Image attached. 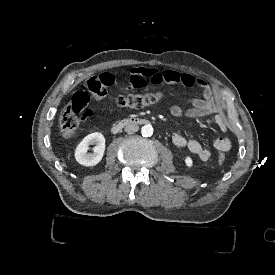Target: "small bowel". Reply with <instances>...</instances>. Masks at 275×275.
<instances>
[{"instance_id": "1", "label": "small bowel", "mask_w": 275, "mask_h": 275, "mask_svg": "<svg viewBox=\"0 0 275 275\" xmlns=\"http://www.w3.org/2000/svg\"><path fill=\"white\" fill-rule=\"evenodd\" d=\"M100 79L105 86L115 88L119 81L115 75L109 72L101 74ZM155 84H180L186 87H197L202 90V98L188 100L190 107L187 110L175 104L171 106L170 113L174 117H186L189 119L203 118L209 115L215 116V122L222 131H227L228 126L225 121V107L217 99L213 89L206 82L195 79L188 73L175 70H158L154 68L136 67L132 69L129 78V88H141L146 85ZM172 142L179 148H186L196 155L201 161H208L213 156L211 149L205 147L195 139H187L180 134H174ZM216 151L225 152L231 149L232 142L228 137H217L213 141Z\"/></svg>"}]
</instances>
